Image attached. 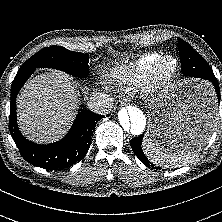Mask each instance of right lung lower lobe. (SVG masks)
Wrapping results in <instances>:
<instances>
[{
    "label": "right lung lower lobe",
    "mask_w": 222,
    "mask_h": 222,
    "mask_svg": "<svg viewBox=\"0 0 222 222\" xmlns=\"http://www.w3.org/2000/svg\"><path fill=\"white\" fill-rule=\"evenodd\" d=\"M35 69H19L11 86L9 131L22 157L35 166L47 170H61L83 159L90 147L92 132L102 115L79 110L69 133L59 142L35 144L19 131L16 123V97Z\"/></svg>",
    "instance_id": "obj_1"
}]
</instances>
